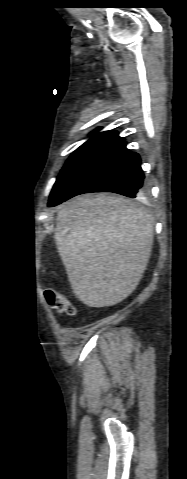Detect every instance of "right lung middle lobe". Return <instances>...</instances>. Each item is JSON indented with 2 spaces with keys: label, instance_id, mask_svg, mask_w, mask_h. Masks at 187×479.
I'll return each instance as SVG.
<instances>
[{
  "label": "right lung middle lobe",
  "instance_id": "1",
  "mask_svg": "<svg viewBox=\"0 0 187 479\" xmlns=\"http://www.w3.org/2000/svg\"><path fill=\"white\" fill-rule=\"evenodd\" d=\"M96 132V131H95ZM123 138L116 131L96 133L69 157L59 174L49 198V205L59 198L62 192L85 170L103 158L120 143Z\"/></svg>",
  "mask_w": 187,
  "mask_h": 479
}]
</instances>
